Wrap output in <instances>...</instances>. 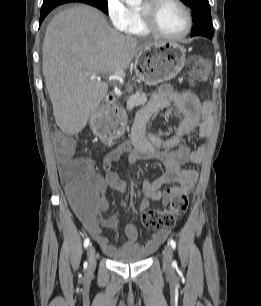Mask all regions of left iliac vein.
Segmentation results:
<instances>
[{
    "label": "left iliac vein",
    "mask_w": 261,
    "mask_h": 306,
    "mask_svg": "<svg viewBox=\"0 0 261 306\" xmlns=\"http://www.w3.org/2000/svg\"><path fill=\"white\" fill-rule=\"evenodd\" d=\"M173 251L170 245H166L163 251V266L165 269L172 267Z\"/></svg>",
    "instance_id": "obj_1"
}]
</instances>
